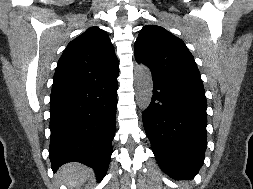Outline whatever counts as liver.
Instances as JSON below:
<instances>
[{"label": "liver", "mask_w": 253, "mask_h": 189, "mask_svg": "<svg viewBox=\"0 0 253 189\" xmlns=\"http://www.w3.org/2000/svg\"><path fill=\"white\" fill-rule=\"evenodd\" d=\"M91 170L79 163H69L62 166L58 171V177L70 189H80L89 179Z\"/></svg>", "instance_id": "6515ba94"}]
</instances>
